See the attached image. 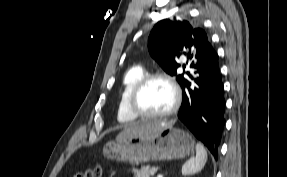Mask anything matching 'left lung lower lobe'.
<instances>
[{
  "mask_svg": "<svg viewBox=\"0 0 287 177\" xmlns=\"http://www.w3.org/2000/svg\"><path fill=\"white\" fill-rule=\"evenodd\" d=\"M198 76H189L181 86L183 101L178 118L218 158V147L225 124V99L218 55L209 51L206 60L195 68Z\"/></svg>",
  "mask_w": 287,
  "mask_h": 177,
  "instance_id": "left-lung-lower-lobe-1",
  "label": "left lung lower lobe"
}]
</instances>
